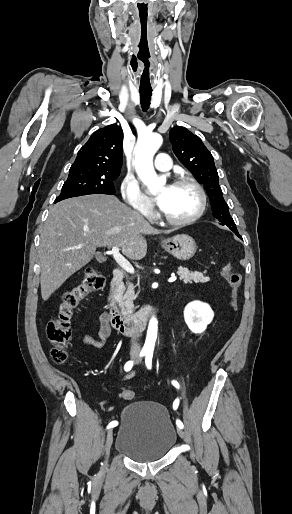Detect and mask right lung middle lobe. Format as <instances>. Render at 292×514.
Masks as SVG:
<instances>
[{"instance_id":"obj_1","label":"right lung middle lobe","mask_w":292,"mask_h":514,"mask_svg":"<svg viewBox=\"0 0 292 514\" xmlns=\"http://www.w3.org/2000/svg\"><path fill=\"white\" fill-rule=\"evenodd\" d=\"M119 175L110 174H91V173H72L69 174L64 183L61 194L55 199V203L61 200L89 195V194H115L113 181Z\"/></svg>"}]
</instances>
